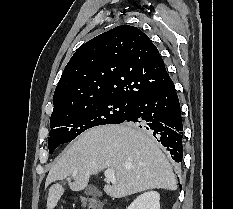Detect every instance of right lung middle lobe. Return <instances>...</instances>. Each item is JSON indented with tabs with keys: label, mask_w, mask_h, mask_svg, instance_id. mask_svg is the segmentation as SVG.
Here are the masks:
<instances>
[{
	"label": "right lung middle lobe",
	"mask_w": 233,
	"mask_h": 209,
	"mask_svg": "<svg viewBox=\"0 0 233 209\" xmlns=\"http://www.w3.org/2000/svg\"><path fill=\"white\" fill-rule=\"evenodd\" d=\"M132 105L131 101L119 98L98 100L71 111L51 115L48 138L49 153L63 143L75 139L88 128L122 123Z\"/></svg>",
	"instance_id": "dd1d6c3e"
}]
</instances>
